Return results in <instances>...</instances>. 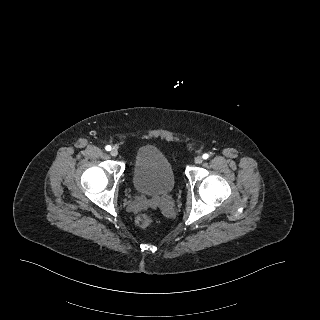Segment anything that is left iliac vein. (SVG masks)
Wrapping results in <instances>:
<instances>
[{
  "instance_id": "4c4485c4",
  "label": "left iliac vein",
  "mask_w": 320,
  "mask_h": 320,
  "mask_svg": "<svg viewBox=\"0 0 320 320\" xmlns=\"http://www.w3.org/2000/svg\"><path fill=\"white\" fill-rule=\"evenodd\" d=\"M196 164H201L203 162V158L201 156H197L194 160Z\"/></svg>"
}]
</instances>
